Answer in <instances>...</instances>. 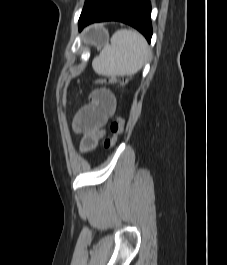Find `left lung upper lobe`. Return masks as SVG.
<instances>
[{"label":"left lung upper lobe","mask_w":227,"mask_h":265,"mask_svg":"<svg viewBox=\"0 0 227 265\" xmlns=\"http://www.w3.org/2000/svg\"><path fill=\"white\" fill-rule=\"evenodd\" d=\"M106 0H86L79 22L90 16Z\"/></svg>","instance_id":"1"}]
</instances>
